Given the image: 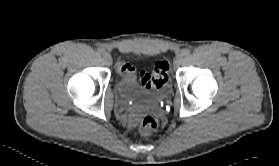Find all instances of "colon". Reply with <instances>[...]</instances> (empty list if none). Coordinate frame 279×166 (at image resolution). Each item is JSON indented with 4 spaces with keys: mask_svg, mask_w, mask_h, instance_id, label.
<instances>
[{
    "mask_svg": "<svg viewBox=\"0 0 279 166\" xmlns=\"http://www.w3.org/2000/svg\"><path fill=\"white\" fill-rule=\"evenodd\" d=\"M170 65L167 60L157 61L152 74L141 72L139 80L146 89H162L168 82V72ZM158 127L157 120L152 116H146L139 125V133L147 136Z\"/></svg>",
    "mask_w": 279,
    "mask_h": 166,
    "instance_id": "colon-1",
    "label": "colon"
}]
</instances>
